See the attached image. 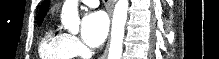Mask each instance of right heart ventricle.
<instances>
[{"instance_id":"1","label":"right heart ventricle","mask_w":219,"mask_h":59,"mask_svg":"<svg viewBox=\"0 0 219 59\" xmlns=\"http://www.w3.org/2000/svg\"><path fill=\"white\" fill-rule=\"evenodd\" d=\"M41 59H73L75 53L70 45V36L54 27L48 28L39 43Z\"/></svg>"}]
</instances>
